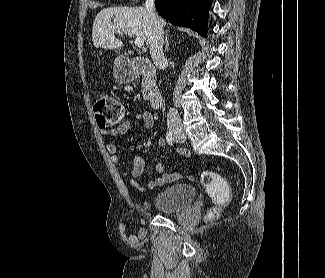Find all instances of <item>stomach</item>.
<instances>
[{
    "label": "stomach",
    "mask_w": 325,
    "mask_h": 278,
    "mask_svg": "<svg viewBox=\"0 0 325 278\" xmlns=\"http://www.w3.org/2000/svg\"><path fill=\"white\" fill-rule=\"evenodd\" d=\"M114 76L119 84H128L134 80L136 73L130 64L118 60L115 63Z\"/></svg>",
    "instance_id": "0dacf381"
}]
</instances>
